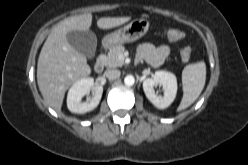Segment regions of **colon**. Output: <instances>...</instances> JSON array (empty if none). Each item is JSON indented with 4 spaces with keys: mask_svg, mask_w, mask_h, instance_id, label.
Masks as SVG:
<instances>
[{
    "mask_svg": "<svg viewBox=\"0 0 248 165\" xmlns=\"http://www.w3.org/2000/svg\"><path fill=\"white\" fill-rule=\"evenodd\" d=\"M165 35L170 41H180L184 38V33L178 29H168ZM191 55L192 49L190 46H185L180 50V56L184 62H188Z\"/></svg>",
    "mask_w": 248,
    "mask_h": 165,
    "instance_id": "colon-1",
    "label": "colon"
}]
</instances>
